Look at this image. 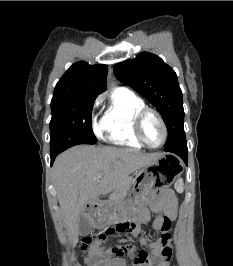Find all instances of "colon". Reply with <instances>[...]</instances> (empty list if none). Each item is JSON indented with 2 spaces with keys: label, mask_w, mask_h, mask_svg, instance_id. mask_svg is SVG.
<instances>
[{
  "label": "colon",
  "mask_w": 233,
  "mask_h": 266,
  "mask_svg": "<svg viewBox=\"0 0 233 266\" xmlns=\"http://www.w3.org/2000/svg\"><path fill=\"white\" fill-rule=\"evenodd\" d=\"M162 220V226L163 228H168L170 225V222L168 218H166L163 215L158 216ZM136 224L133 222H127V225H120L119 228H108L105 231L96 233L92 237H86L82 241V249L85 250L89 246L95 244V243H103L107 237L114 234L115 232L119 233H132L136 229ZM112 254L114 256H124L126 254H131L134 261L137 262H146L149 259V262L151 265H154L158 260L156 258H149L148 256L144 254L137 253L136 255L133 254L132 247L131 246H125V245H116L114 247H111Z\"/></svg>",
  "instance_id": "colon-1"
}]
</instances>
